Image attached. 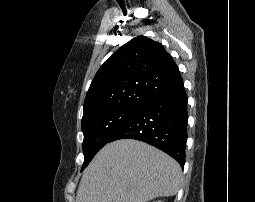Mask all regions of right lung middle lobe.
Masks as SVG:
<instances>
[{
	"mask_svg": "<svg viewBox=\"0 0 255 202\" xmlns=\"http://www.w3.org/2000/svg\"><path fill=\"white\" fill-rule=\"evenodd\" d=\"M140 107H112L84 116L81 122L84 134V163L81 171L95 154L109 142L111 137L124 125Z\"/></svg>",
	"mask_w": 255,
	"mask_h": 202,
	"instance_id": "dd1d6c3e",
	"label": "right lung middle lobe"
}]
</instances>
